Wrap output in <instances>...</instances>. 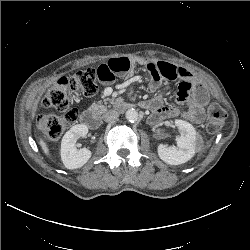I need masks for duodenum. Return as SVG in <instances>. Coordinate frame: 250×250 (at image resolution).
I'll list each match as a JSON object with an SVG mask.
<instances>
[{"mask_svg": "<svg viewBox=\"0 0 250 250\" xmlns=\"http://www.w3.org/2000/svg\"><path fill=\"white\" fill-rule=\"evenodd\" d=\"M131 107L132 105L128 102H117L113 106L119 113H125ZM99 115L97 110H85L81 115L82 123L92 130L97 129L100 126Z\"/></svg>", "mask_w": 250, "mask_h": 250, "instance_id": "1", "label": "duodenum"}]
</instances>
